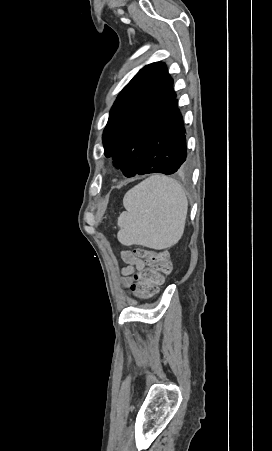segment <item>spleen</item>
<instances>
[{"mask_svg": "<svg viewBox=\"0 0 272 451\" xmlns=\"http://www.w3.org/2000/svg\"><path fill=\"white\" fill-rule=\"evenodd\" d=\"M117 233L123 245L166 249L183 235L188 200L177 180L162 174L150 176L126 192Z\"/></svg>", "mask_w": 272, "mask_h": 451, "instance_id": "1", "label": "spleen"}]
</instances>
